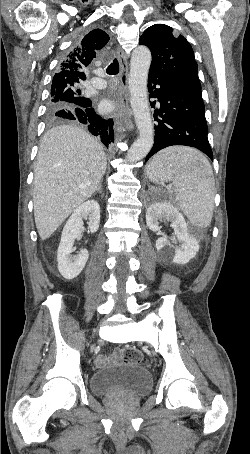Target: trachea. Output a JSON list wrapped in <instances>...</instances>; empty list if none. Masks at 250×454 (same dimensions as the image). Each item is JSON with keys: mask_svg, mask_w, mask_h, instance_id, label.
Masks as SVG:
<instances>
[{"mask_svg": "<svg viewBox=\"0 0 250 454\" xmlns=\"http://www.w3.org/2000/svg\"><path fill=\"white\" fill-rule=\"evenodd\" d=\"M106 72L109 75H116L119 72V62L117 59H114L113 62L108 66Z\"/></svg>", "mask_w": 250, "mask_h": 454, "instance_id": "trachea-1", "label": "trachea"}]
</instances>
